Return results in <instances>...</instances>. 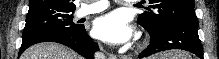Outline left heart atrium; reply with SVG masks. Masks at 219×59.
I'll use <instances>...</instances> for the list:
<instances>
[{
	"instance_id": "39dd6f15",
	"label": "left heart atrium",
	"mask_w": 219,
	"mask_h": 59,
	"mask_svg": "<svg viewBox=\"0 0 219 59\" xmlns=\"http://www.w3.org/2000/svg\"><path fill=\"white\" fill-rule=\"evenodd\" d=\"M93 34L103 41L120 43L130 38L131 29L120 13L112 12L95 21Z\"/></svg>"
}]
</instances>
